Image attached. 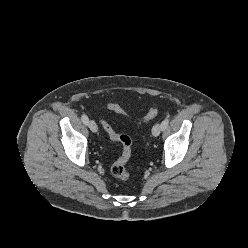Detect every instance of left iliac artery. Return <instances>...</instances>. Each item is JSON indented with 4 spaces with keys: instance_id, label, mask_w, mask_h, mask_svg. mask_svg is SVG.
Wrapping results in <instances>:
<instances>
[{
    "instance_id": "left-iliac-artery-1",
    "label": "left iliac artery",
    "mask_w": 248,
    "mask_h": 248,
    "mask_svg": "<svg viewBox=\"0 0 248 248\" xmlns=\"http://www.w3.org/2000/svg\"><path fill=\"white\" fill-rule=\"evenodd\" d=\"M168 124H169V120L167 118L164 119L161 123L162 130H165L168 127Z\"/></svg>"
}]
</instances>
